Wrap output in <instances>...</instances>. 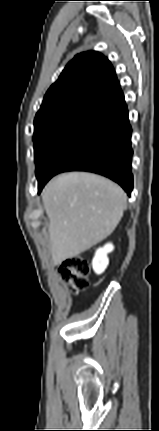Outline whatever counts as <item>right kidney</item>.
Listing matches in <instances>:
<instances>
[{
    "mask_svg": "<svg viewBox=\"0 0 159 431\" xmlns=\"http://www.w3.org/2000/svg\"><path fill=\"white\" fill-rule=\"evenodd\" d=\"M114 246L111 243L99 248L92 260V267L96 274H102L109 264L108 253L112 252Z\"/></svg>",
    "mask_w": 159,
    "mask_h": 431,
    "instance_id": "right-kidney-1",
    "label": "right kidney"
}]
</instances>
